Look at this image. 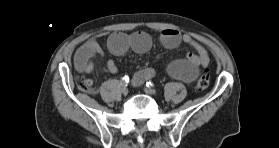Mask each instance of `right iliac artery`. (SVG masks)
Masks as SVG:
<instances>
[{
    "mask_svg": "<svg viewBox=\"0 0 279 148\" xmlns=\"http://www.w3.org/2000/svg\"><path fill=\"white\" fill-rule=\"evenodd\" d=\"M128 82H129V77L125 75L121 80V85L123 87H126L128 85Z\"/></svg>",
    "mask_w": 279,
    "mask_h": 148,
    "instance_id": "82829eb1",
    "label": "right iliac artery"
}]
</instances>
